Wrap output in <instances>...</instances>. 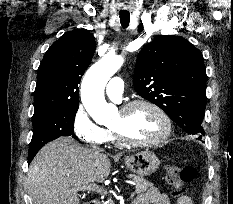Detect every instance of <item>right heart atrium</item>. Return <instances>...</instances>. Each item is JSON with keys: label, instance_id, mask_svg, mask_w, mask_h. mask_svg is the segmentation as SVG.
Wrapping results in <instances>:
<instances>
[{"label": "right heart atrium", "instance_id": "obj_1", "mask_svg": "<svg viewBox=\"0 0 233 204\" xmlns=\"http://www.w3.org/2000/svg\"><path fill=\"white\" fill-rule=\"evenodd\" d=\"M72 128L76 137L88 145H99L108 141L107 130L96 124L81 104L73 115Z\"/></svg>", "mask_w": 233, "mask_h": 204}]
</instances>
